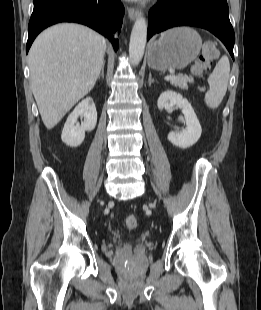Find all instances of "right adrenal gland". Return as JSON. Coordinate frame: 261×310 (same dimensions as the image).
I'll return each instance as SVG.
<instances>
[{
	"instance_id": "obj_1",
	"label": "right adrenal gland",
	"mask_w": 261,
	"mask_h": 310,
	"mask_svg": "<svg viewBox=\"0 0 261 310\" xmlns=\"http://www.w3.org/2000/svg\"><path fill=\"white\" fill-rule=\"evenodd\" d=\"M104 66H105V62L102 65L101 72H100L98 78L102 77L104 79Z\"/></svg>"
}]
</instances>
